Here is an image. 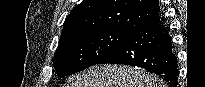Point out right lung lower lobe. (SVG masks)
<instances>
[{"mask_svg": "<svg viewBox=\"0 0 205 87\" xmlns=\"http://www.w3.org/2000/svg\"><path fill=\"white\" fill-rule=\"evenodd\" d=\"M114 63L138 66L177 86L178 64L172 38L163 18L158 17L132 34L97 64Z\"/></svg>", "mask_w": 205, "mask_h": 87, "instance_id": "obj_1", "label": "right lung lower lobe"}]
</instances>
